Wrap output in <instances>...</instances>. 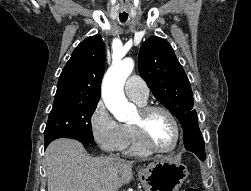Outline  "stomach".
I'll return each mask as SVG.
<instances>
[{"label": "stomach", "instance_id": "obj_1", "mask_svg": "<svg viewBox=\"0 0 251 191\" xmlns=\"http://www.w3.org/2000/svg\"><path fill=\"white\" fill-rule=\"evenodd\" d=\"M189 171L185 163H177L172 157H153L144 169H139V179L145 191H178Z\"/></svg>", "mask_w": 251, "mask_h": 191}]
</instances>
